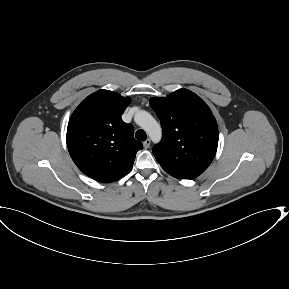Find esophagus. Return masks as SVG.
<instances>
[{
    "label": "esophagus",
    "mask_w": 289,
    "mask_h": 289,
    "mask_svg": "<svg viewBox=\"0 0 289 289\" xmlns=\"http://www.w3.org/2000/svg\"><path fill=\"white\" fill-rule=\"evenodd\" d=\"M150 144H151L150 139H147V140H145V141L143 142V147H144L145 149H147V148H149Z\"/></svg>",
    "instance_id": "obj_1"
}]
</instances>
